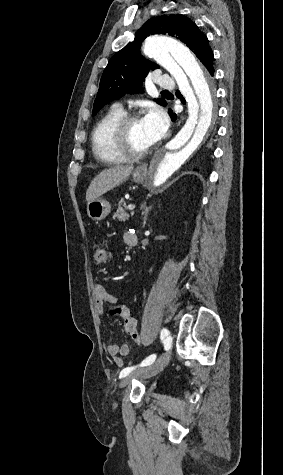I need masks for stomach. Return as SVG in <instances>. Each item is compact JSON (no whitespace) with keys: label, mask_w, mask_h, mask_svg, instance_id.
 Masks as SVG:
<instances>
[{"label":"stomach","mask_w":283,"mask_h":475,"mask_svg":"<svg viewBox=\"0 0 283 475\" xmlns=\"http://www.w3.org/2000/svg\"><path fill=\"white\" fill-rule=\"evenodd\" d=\"M132 178L136 184H143L148 178L147 170L144 166H138L132 174ZM111 212V206L107 200L103 198H97L93 202H88L87 204V214L89 218L98 222V220H104L108 214Z\"/></svg>","instance_id":"1"}]
</instances>
